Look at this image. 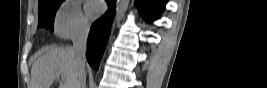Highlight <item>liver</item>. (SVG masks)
Returning a JSON list of instances; mask_svg holds the SVG:
<instances>
[{"mask_svg": "<svg viewBox=\"0 0 267 88\" xmlns=\"http://www.w3.org/2000/svg\"><path fill=\"white\" fill-rule=\"evenodd\" d=\"M60 75L65 77L60 88H75L77 67L72 48H54L38 58L31 69V88H50Z\"/></svg>", "mask_w": 267, "mask_h": 88, "instance_id": "1", "label": "liver"}]
</instances>
